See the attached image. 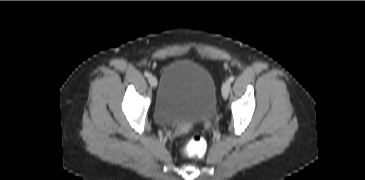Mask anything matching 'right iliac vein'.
<instances>
[{
    "instance_id": "63e3f726",
    "label": "right iliac vein",
    "mask_w": 365,
    "mask_h": 180,
    "mask_svg": "<svg viewBox=\"0 0 365 180\" xmlns=\"http://www.w3.org/2000/svg\"><path fill=\"white\" fill-rule=\"evenodd\" d=\"M148 81H149V84L151 85V87H153V88H155L158 84L156 77L152 76V75H150L148 77Z\"/></svg>"
}]
</instances>
